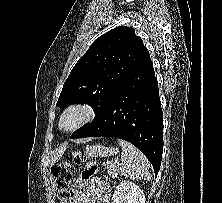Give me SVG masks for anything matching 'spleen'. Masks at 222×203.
Wrapping results in <instances>:
<instances>
[{"label":"spleen","mask_w":222,"mask_h":203,"mask_svg":"<svg viewBox=\"0 0 222 203\" xmlns=\"http://www.w3.org/2000/svg\"><path fill=\"white\" fill-rule=\"evenodd\" d=\"M122 147V168L121 174L133 179H151V164L149 160L135 146L125 140H118Z\"/></svg>","instance_id":"spleen-1"}]
</instances>
